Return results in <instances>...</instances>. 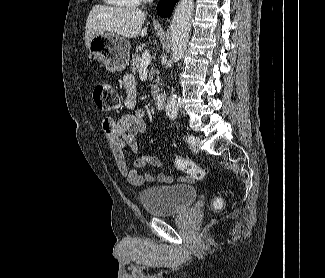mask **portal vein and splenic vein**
Segmentation results:
<instances>
[{
    "label": "portal vein and splenic vein",
    "mask_w": 325,
    "mask_h": 278,
    "mask_svg": "<svg viewBox=\"0 0 325 278\" xmlns=\"http://www.w3.org/2000/svg\"><path fill=\"white\" fill-rule=\"evenodd\" d=\"M151 63V55L148 52L142 54L140 66L141 68L147 67Z\"/></svg>",
    "instance_id": "18ae733b"
}]
</instances>
